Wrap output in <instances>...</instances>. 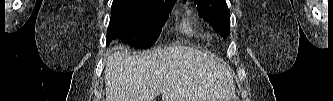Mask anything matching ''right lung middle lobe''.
<instances>
[{
	"label": "right lung middle lobe",
	"instance_id": "dd1d6c3e",
	"mask_svg": "<svg viewBox=\"0 0 333 101\" xmlns=\"http://www.w3.org/2000/svg\"><path fill=\"white\" fill-rule=\"evenodd\" d=\"M176 0H113L107 41L120 39L150 48L159 38Z\"/></svg>",
	"mask_w": 333,
	"mask_h": 101
}]
</instances>
